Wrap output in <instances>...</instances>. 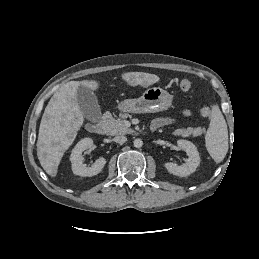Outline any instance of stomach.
<instances>
[{
	"mask_svg": "<svg viewBox=\"0 0 259 259\" xmlns=\"http://www.w3.org/2000/svg\"><path fill=\"white\" fill-rule=\"evenodd\" d=\"M173 96L160 87L148 88L141 97L125 99L118 104L123 113H155L168 110Z\"/></svg>",
	"mask_w": 259,
	"mask_h": 259,
	"instance_id": "obj_1",
	"label": "stomach"
}]
</instances>
